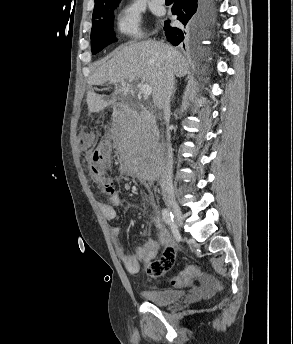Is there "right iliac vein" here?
Masks as SVG:
<instances>
[{"label": "right iliac vein", "mask_w": 293, "mask_h": 344, "mask_svg": "<svg viewBox=\"0 0 293 344\" xmlns=\"http://www.w3.org/2000/svg\"><path fill=\"white\" fill-rule=\"evenodd\" d=\"M166 205H167L168 209L172 212L176 224L178 226H182L183 221H184V216H183V213H182L180 207L178 206V204L173 200H169L166 202Z\"/></svg>", "instance_id": "63e3f726"}]
</instances>
